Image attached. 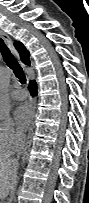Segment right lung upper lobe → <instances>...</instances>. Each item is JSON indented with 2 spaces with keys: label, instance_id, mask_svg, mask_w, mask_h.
Listing matches in <instances>:
<instances>
[{
  "label": "right lung upper lobe",
  "instance_id": "cb5924a9",
  "mask_svg": "<svg viewBox=\"0 0 89 203\" xmlns=\"http://www.w3.org/2000/svg\"><path fill=\"white\" fill-rule=\"evenodd\" d=\"M14 46L17 49V51L20 53V57L22 59V61L26 64L30 66V60H29V52L28 50L24 47V45L19 42V41H15L14 42Z\"/></svg>",
  "mask_w": 89,
  "mask_h": 203
}]
</instances>
